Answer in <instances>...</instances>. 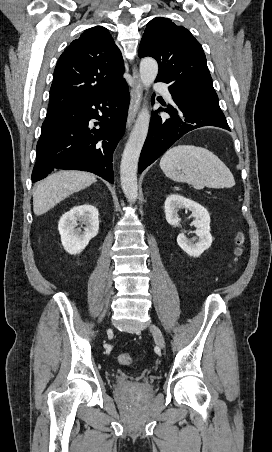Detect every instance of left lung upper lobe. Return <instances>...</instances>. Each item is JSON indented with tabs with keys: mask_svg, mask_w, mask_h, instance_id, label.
<instances>
[{
	"mask_svg": "<svg viewBox=\"0 0 272 452\" xmlns=\"http://www.w3.org/2000/svg\"><path fill=\"white\" fill-rule=\"evenodd\" d=\"M145 56L158 62L156 81L182 91L218 97L202 46L183 26L162 17L151 20L139 47V57Z\"/></svg>",
	"mask_w": 272,
	"mask_h": 452,
	"instance_id": "1",
	"label": "left lung upper lobe"
}]
</instances>
